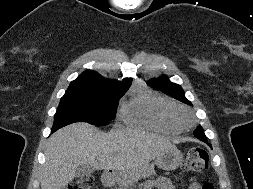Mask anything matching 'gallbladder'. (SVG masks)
Here are the masks:
<instances>
[{
    "mask_svg": "<svg viewBox=\"0 0 253 189\" xmlns=\"http://www.w3.org/2000/svg\"><path fill=\"white\" fill-rule=\"evenodd\" d=\"M94 168L89 165L81 164L76 168L75 176L76 177H82L85 175H89L94 172Z\"/></svg>",
    "mask_w": 253,
    "mask_h": 189,
    "instance_id": "obj_1",
    "label": "gallbladder"
}]
</instances>
